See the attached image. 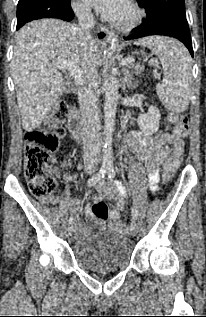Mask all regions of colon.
Segmentation results:
<instances>
[{"mask_svg": "<svg viewBox=\"0 0 206 317\" xmlns=\"http://www.w3.org/2000/svg\"><path fill=\"white\" fill-rule=\"evenodd\" d=\"M70 110L66 103H60L54 110L52 118L40 128L26 134L24 172L29 183L30 192L37 198L48 199L56 190V180L51 174L53 154L58 150L61 138L65 134L64 121L69 117ZM173 132L178 136L188 133V120L183 113H171L168 116ZM183 155L182 142L174 146L170 158L165 163L166 176H169L179 165ZM92 211L100 220L109 217L107 205L102 201L94 203ZM112 228L124 233L125 223L116 221Z\"/></svg>", "mask_w": 206, "mask_h": 317, "instance_id": "1", "label": "colon"}]
</instances>
